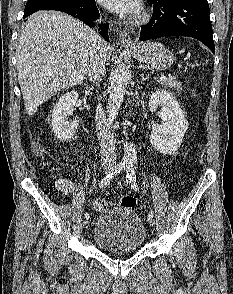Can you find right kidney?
<instances>
[{"label": "right kidney", "instance_id": "ca27d5eb", "mask_svg": "<svg viewBox=\"0 0 233 294\" xmlns=\"http://www.w3.org/2000/svg\"><path fill=\"white\" fill-rule=\"evenodd\" d=\"M78 99L76 91L68 92L62 95L52 111V129L56 137L61 141H69L74 136L76 129L79 126V121H67V116L73 114L74 106Z\"/></svg>", "mask_w": 233, "mask_h": 294}]
</instances>
